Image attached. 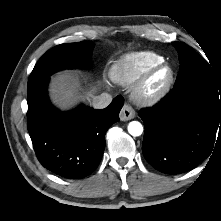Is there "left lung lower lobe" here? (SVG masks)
<instances>
[{
    "label": "left lung lower lobe",
    "instance_id": "0a47b994",
    "mask_svg": "<svg viewBox=\"0 0 221 221\" xmlns=\"http://www.w3.org/2000/svg\"><path fill=\"white\" fill-rule=\"evenodd\" d=\"M220 95V99H219ZM221 94L199 84L174 89L157 105L142 109L146 128L142 152L156 170L181 174L206 159L221 138Z\"/></svg>",
    "mask_w": 221,
    "mask_h": 221
}]
</instances>
